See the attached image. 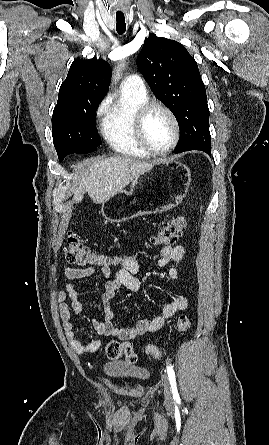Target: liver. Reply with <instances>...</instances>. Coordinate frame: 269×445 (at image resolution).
Returning a JSON list of instances; mask_svg holds the SVG:
<instances>
[{"instance_id":"1","label":"liver","mask_w":269,"mask_h":445,"mask_svg":"<svg viewBox=\"0 0 269 445\" xmlns=\"http://www.w3.org/2000/svg\"><path fill=\"white\" fill-rule=\"evenodd\" d=\"M155 162H141L130 157H110L104 160H90L81 164L78 187L73 201L79 203L88 192L92 201L101 204L107 201L133 181Z\"/></svg>"}]
</instances>
